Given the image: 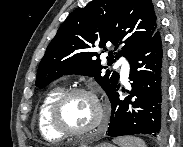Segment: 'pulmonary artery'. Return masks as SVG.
<instances>
[{"instance_id":"1","label":"pulmonary artery","mask_w":183,"mask_h":147,"mask_svg":"<svg viewBox=\"0 0 183 147\" xmlns=\"http://www.w3.org/2000/svg\"><path fill=\"white\" fill-rule=\"evenodd\" d=\"M117 65L121 66L122 76L126 78L129 74V63L125 59H122Z\"/></svg>"}]
</instances>
